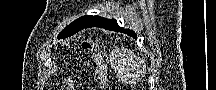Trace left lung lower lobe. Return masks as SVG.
<instances>
[{
  "label": "left lung lower lobe",
  "mask_w": 216,
  "mask_h": 90,
  "mask_svg": "<svg viewBox=\"0 0 216 90\" xmlns=\"http://www.w3.org/2000/svg\"><path fill=\"white\" fill-rule=\"evenodd\" d=\"M94 26L105 28V29L111 30V31H119V32L128 34L134 38H137L136 34L133 31L119 27L116 20H114V19L110 20V19L103 18L102 20L94 23L93 25H91L89 27H94Z\"/></svg>",
  "instance_id": "left-lung-lower-lobe-1"
}]
</instances>
